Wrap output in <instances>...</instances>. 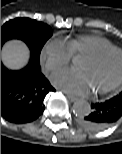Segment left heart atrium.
I'll use <instances>...</instances> for the list:
<instances>
[{
  "instance_id": "left-heart-atrium-1",
  "label": "left heart atrium",
  "mask_w": 122,
  "mask_h": 154,
  "mask_svg": "<svg viewBox=\"0 0 122 154\" xmlns=\"http://www.w3.org/2000/svg\"><path fill=\"white\" fill-rule=\"evenodd\" d=\"M53 84L76 96H87L93 92L88 76L81 70L64 69L52 75Z\"/></svg>"
}]
</instances>
